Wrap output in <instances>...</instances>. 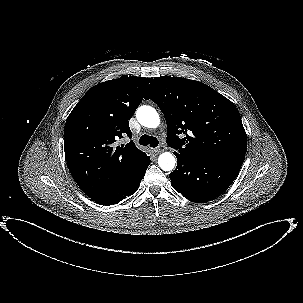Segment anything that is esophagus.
Segmentation results:
<instances>
[{"mask_svg":"<svg viewBox=\"0 0 303 303\" xmlns=\"http://www.w3.org/2000/svg\"><path fill=\"white\" fill-rule=\"evenodd\" d=\"M164 151V146L160 145L158 148L154 149L155 154H159Z\"/></svg>","mask_w":303,"mask_h":303,"instance_id":"1","label":"esophagus"}]
</instances>
